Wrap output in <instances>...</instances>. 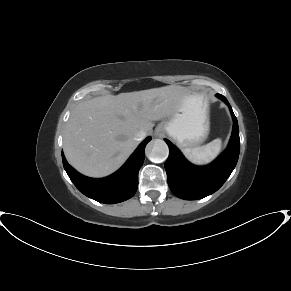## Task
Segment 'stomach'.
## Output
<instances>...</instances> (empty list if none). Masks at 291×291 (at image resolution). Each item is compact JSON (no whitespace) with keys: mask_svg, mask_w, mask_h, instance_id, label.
Segmentation results:
<instances>
[{"mask_svg":"<svg viewBox=\"0 0 291 291\" xmlns=\"http://www.w3.org/2000/svg\"><path fill=\"white\" fill-rule=\"evenodd\" d=\"M180 147L192 148L202 144L210 131L209 104L206 94L185 89L172 114L158 125Z\"/></svg>","mask_w":291,"mask_h":291,"instance_id":"0dacf381","label":"stomach"}]
</instances>
